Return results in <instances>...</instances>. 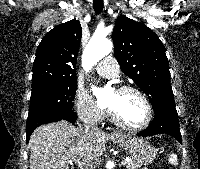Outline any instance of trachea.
<instances>
[{"label":"trachea","instance_id":"3493384b","mask_svg":"<svg viewBox=\"0 0 200 169\" xmlns=\"http://www.w3.org/2000/svg\"><path fill=\"white\" fill-rule=\"evenodd\" d=\"M93 8L96 14H100L103 10V0H93Z\"/></svg>","mask_w":200,"mask_h":169}]
</instances>
